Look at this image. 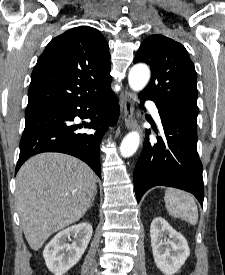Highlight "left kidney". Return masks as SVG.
<instances>
[{
    "mask_svg": "<svg viewBox=\"0 0 225 275\" xmlns=\"http://www.w3.org/2000/svg\"><path fill=\"white\" fill-rule=\"evenodd\" d=\"M166 235L169 239L163 242ZM150 237L157 268L166 275L177 273L190 255L186 239L162 217H157L152 221Z\"/></svg>",
    "mask_w": 225,
    "mask_h": 275,
    "instance_id": "5707ae66",
    "label": "left kidney"
}]
</instances>
